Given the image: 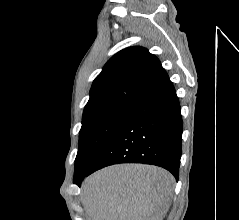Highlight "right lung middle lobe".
<instances>
[{
	"label": "right lung middle lobe",
	"mask_w": 239,
	"mask_h": 220,
	"mask_svg": "<svg viewBox=\"0 0 239 220\" xmlns=\"http://www.w3.org/2000/svg\"><path fill=\"white\" fill-rule=\"evenodd\" d=\"M132 105H120L83 117L79 132V148L75 159L74 179L90 170L112 138Z\"/></svg>",
	"instance_id": "dd1d6c3e"
}]
</instances>
